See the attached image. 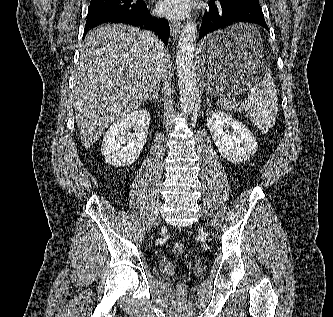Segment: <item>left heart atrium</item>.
Listing matches in <instances>:
<instances>
[{"label": "left heart atrium", "mask_w": 333, "mask_h": 317, "mask_svg": "<svg viewBox=\"0 0 333 317\" xmlns=\"http://www.w3.org/2000/svg\"><path fill=\"white\" fill-rule=\"evenodd\" d=\"M190 8L189 0H162L158 5V12L167 17H184Z\"/></svg>", "instance_id": "39dd6f15"}]
</instances>
